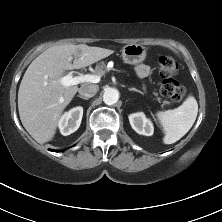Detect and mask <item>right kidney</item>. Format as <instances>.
I'll return each mask as SVG.
<instances>
[{"label": "right kidney", "mask_w": 222, "mask_h": 222, "mask_svg": "<svg viewBox=\"0 0 222 222\" xmlns=\"http://www.w3.org/2000/svg\"><path fill=\"white\" fill-rule=\"evenodd\" d=\"M82 116L83 108L80 106L65 112L58 122L61 134L67 136L75 132L81 124Z\"/></svg>", "instance_id": "ca27d5eb"}]
</instances>
